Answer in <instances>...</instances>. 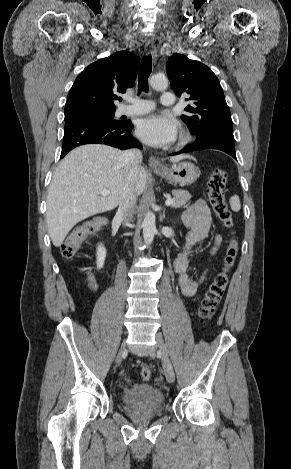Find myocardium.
<instances>
[{"label":"myocardium","instance_id":"1","mask_svg":"<svg viewBox=\"0 0 291 469\" xmlns=\"http://www.w3.org/2000/svg\"><path fill=\"white\" fill-rule=\"evenodd\" d=\"M190 139H191L190 134L187 131H183L179 137L178 145L184 146L190 141Z\"/></svg>","mask_w":291,"mask_h":469}]
</instances>
